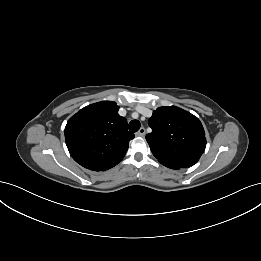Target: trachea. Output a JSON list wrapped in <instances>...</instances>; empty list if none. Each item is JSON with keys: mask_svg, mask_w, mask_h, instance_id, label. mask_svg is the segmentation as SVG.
Masks as SVG:
<instances>
[{"mask_svg": "<svg viewBox=\"0 0 261 261\" xmlns=\"http://www.w3.org/2000/svg\"><path fill=\"white\" fill-rule=\"evenodd\" d=\"M140 122L138 120H132L129 123V130L131 132H137L140 129Z\"/></svg>", "mask_w": 261, "mask_h": 261, "instance_id": "1", "label": "trachea"}]
</instances>
